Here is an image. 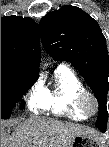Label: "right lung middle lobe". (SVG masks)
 Segmentation results:
<instances>
[{"label":"right lung middle lobe","instance_id":"1","mask_svg":"<svg viewBox=\"0 0 109 147\" xmlns=\"http://www.w3.org/2000/svg\"><path fill=\"white\" fill-rule=\"evenodd\" d=\"M37 76L23 67L1 63V119L10 118L12 108L21 98L25 85L33 83Z\"/></svg>","mask_w":109,"mask_h":147}]
</instances>
